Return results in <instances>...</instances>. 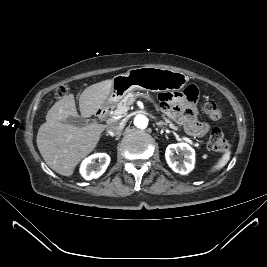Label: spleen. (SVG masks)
<instances>
[{
	"label": "spleen",
	"mask_w": 267,
	"mask_h": 267,
	"mask_svg": "<svg viewBox=\"0 0 267 267\" xmlns=\"http://www.w3.org/2000/svg\"><path fill=\"white\" fill-rule=\"evenodd\" d=\"M230 156H231V152L226 151L223 154V156L218 160V162L212 167V169L210 170V173H213L215 171L222 169L228 163Z\"/></svg>",
	"instance_id": "3e777b00"
}]
</instances>
